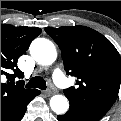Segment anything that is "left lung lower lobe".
<instances>
[{"instance_id": "obj_1", "label": "left lung lower lobe", "mask_w": 121, "mask_h": 121, "mask_svg": "<svg viewBox=\"0 0 121 121\" xmlns=\"http://www.w3.org/2000/svg\"><path fill=\"white\" fill-rule=\"evenodd\" d=\"M57 118L59 121H99L101 119L95 116L78 112L71 108L66 114L58 115Z\"/></svg>"}]
</instances>
